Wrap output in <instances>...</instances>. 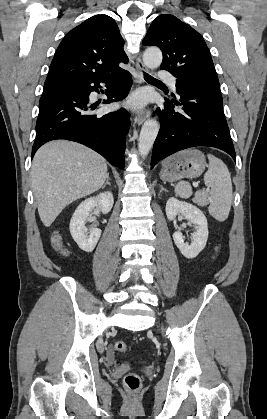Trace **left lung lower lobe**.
Segmentation results:
<instances>
[{"instance_id": "0a47b994", "label": "left lung lower lobe", "mask_w": 267, "mask_h": 419, "mask_svg": "<svg viewBox=\"0 0 267 419\" xmlns=\"http://www.w3.org/2000/svg\"><path fill=\"white\" fill-rule=\"evenodd\" d=\"M178 94L179 101L165 98L164 109H157L161 127L154 142L151 168L165 157L195 146L219 148L235 160L220 89L206 87Z\"/></svg>"}]
</instances>
